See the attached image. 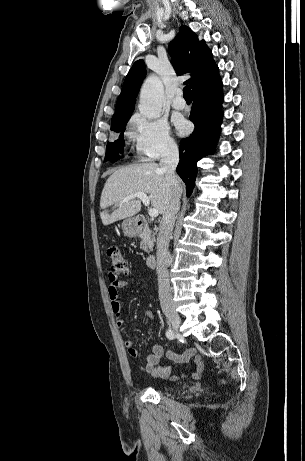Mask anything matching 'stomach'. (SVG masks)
<instances>
[{"label":"stomach","instance_id":"stomach-1","mask_svg":"<svg viewBox=\"0 0 305 461\" xmlns=\"http://www.w3.org/2000/svg\"><path fill=\"white\" fill-rule=\"evenodd\" d=\"M123 234L127 237H136L139 234V228L134 219H125L122 222Z\"/></svg>","mask_w":305,"mask_h":461}]
</instances>
